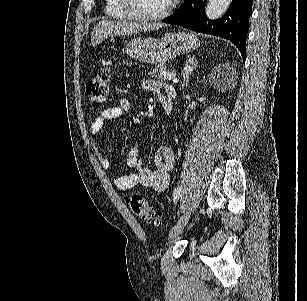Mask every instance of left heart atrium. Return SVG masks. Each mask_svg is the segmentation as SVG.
Returning <instances> with one entry per match:
<instances>
[{"label":"left heart atrium","instance_id":"1","mask_svg":"<svg viewBox=\"0 0 307 301\" xmlns=\"http://www.w3.org/2000/svg\"><path fill=\"white\" fill-rule=\"evenodd\" d=\"M170 2H171L172 4H176V3L178 2V0H170Z\"/></svg>","mask_w":307,"mask_h":301}]
</instances>
